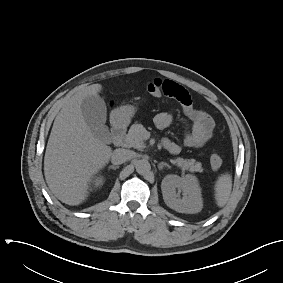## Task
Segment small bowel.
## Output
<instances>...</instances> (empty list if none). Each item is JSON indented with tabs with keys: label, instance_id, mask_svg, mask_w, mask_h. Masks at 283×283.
Segmentation results:
<instances>
[{
	"label": "small bowel",
	"instance_id": "small-bowel-1",
	"mask_svg": "<svg viewBox=\"0 0 283 283\" xmlns=\"http://www.w3.org/2000/svg\"><path fill=\"white\" fill-rule=\"evenodd\" d=\"M162 90V95L181 104L184 114L192 122L190 130L184 136V145L188 148L204 146L213 135L212 117L206 111L194 108L190 93L182 85L171 80H163ZM172 122L173 117L167 112H160L154 117V124L160 130L168 128ZM162 145L171 154H178L181 151V145L169 138H164Z\"/></svg>",
	"mask_w": 283,
	"mask_h": 283
}]
</instances>
